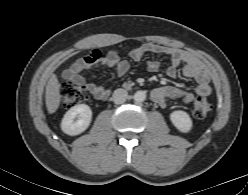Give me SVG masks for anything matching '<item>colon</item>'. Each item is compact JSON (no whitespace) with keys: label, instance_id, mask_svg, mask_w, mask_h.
I'll list each match as a JSON object with an SVG mask.
<instances>
[{"label":"colon","instance_id":"5ec220e1","mask_svg":"<svg viewBox=\"0 0 248 195\" xmlns=\"http://www.w3.org/2000/svg\"><path fill=\"white\" fill-rule=\"evenodd\" d=\"M60 93L63 102L67 107H73L85 100L88 96L84 86L74 84L70 81L62 83ZM213 109L212 103L205 97H197L194 104V116L197 118H205Z\"/></svg>","mask_w":248,"mask_h":195}]
</instances>
